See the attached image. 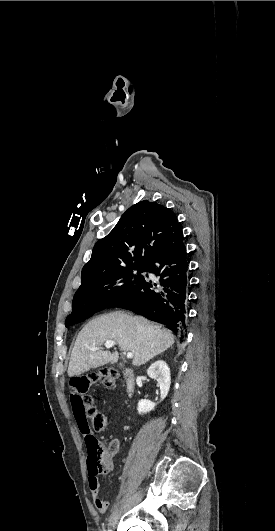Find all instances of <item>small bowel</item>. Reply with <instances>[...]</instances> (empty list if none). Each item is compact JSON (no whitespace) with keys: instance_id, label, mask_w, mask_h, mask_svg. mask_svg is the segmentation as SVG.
Instances as JSON below:
<instances>
[{"instance_id":"c3829d8e","label":"small bowel","mask_w":275,"mask_h":531,"mask_svg":"<svg viewBox=\"0 0 275 531\" xmlns=\"http://www.w3.org/2000/svg\"><path fill=\"white\" fill-rule=\"evenodd\" d=\"M76 381L75 379L73 380ZM70 388H73V385H70ZM75 394H71L69 396V403L71 404L72 413L76 417H83L85 415V400L82 398V392L74 390ZM80 431L83 436V440L85 443V446L87 450H89L91 447H93L96 443H98L97 439L94 437L92 432L90 431L89 427L87 425L81 426ZM89 489L91 492V497L93 500V503L97 509V511L100 514H104L110 507V502L107 500L101 491V484L99 482L98 477L97 478H91L89 477Z\"/></svg>"}]
</instances>
